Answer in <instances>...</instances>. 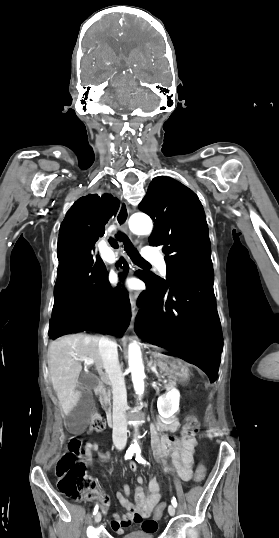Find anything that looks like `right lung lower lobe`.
<instances>
[{"label":"right lung lower lobe","instance_id":"obj_1","mask_svg":"<svg viewBox=\"0 0 279 538\" xmlns=\"http://www.w3.org/2000/svg\"><path fill=\"white\" fill-rule=\"evenodd\" d=\"M118 208L116 198L90 194L77 200L61 223L50 338L84 330L122 335L127 329L128 294L111 287L105 265L92 256L95 242L104 235L105 224ZM121 265L128 270L124 259L117 262Z\"/></svg>","mask_w":279,"mask_h":538}]
</instances>
